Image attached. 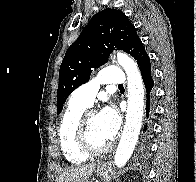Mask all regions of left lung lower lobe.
Segmentation results:
<instances>
[{
	"mask_svg": "<svg viewBox=\"0 0 196 182\" xmlns=\"http://www.w3.org/2000/svg\"><path fill=\"white\" fill-rule=\"evenodd\" d=\"M143 82L146 89V117L148 119V123L144 126V131H147V134L150 132L151 128V120L154 117V95H153V85L154 81L152 78L151 72V63L148 55H145L141 58L138 63Z\"/></svg>",
	"mask_w": 196,
	"mask_h": 182,
	"instance_id": "1",
	"label": "left lung lower lobe"
}]
</instances>
